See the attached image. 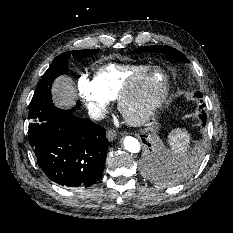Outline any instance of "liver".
<instances>
[{
    "label": "liver",
    "instance_id": "obj_1",
    "mask_svg": "<svg viewBox=\"0 0 233 233\" xmlns=\"http://www.w3.org/2000/svg\"><path fill=\"white\" fill-rule=\"evenodd\" d=\"M76 90L69 76L55 79L52 85V98L57 107L69 109L75 104Z\"/></svg>",
    "mask_w": 233,
    "mask_h": 233
}]
</instances>
